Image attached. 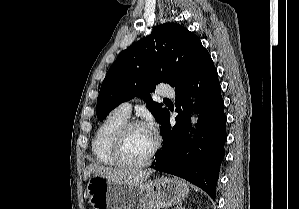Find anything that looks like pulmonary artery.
<instances>
[{
  "instance_id": "1",
  "label": "pulmonary artery",
  "mask_w": 299,
  "mask_h": 209,
  "mask_svg": "<svg viewBox=\"0 0 299 209\" xmlns=\"http://www.w3.org/2000/svg\"><path fill=\"white\" fill-rule=\"evenodd\" d=\"M157 94L161 97L165 98H170L174 96V90L168 86V85H162L158 88ZM131 109H132V102L131 101H126L121 103L116 110L123 114L124 116L129 117L131 114Z\"/></svg>"
}]
</instances>
